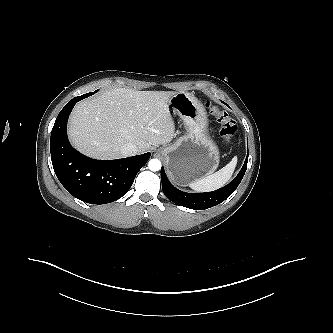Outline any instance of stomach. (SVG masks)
<instances>
[{
    "label": "stomach",
    "instance_id": "obj_1",
    "mask_svg": "<svg viewBox=\"0 0 333 333\" xmlns=\"http://www.w3.org/2000/svg\"><path fill=\"white\" fill-rule=\"evenodd\" d=\"M168 105L170 111L183 120L185 135L160 152L171 179L184 186L215 172L219 151L208 133L206 110L194 95L178 92Z\"/></svg>",
    "mask_w": 333,
    "mask_h": 333
}]
</instances>
